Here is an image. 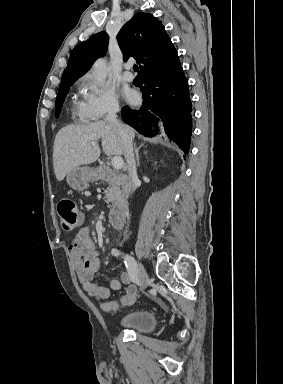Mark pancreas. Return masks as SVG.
<instances>
[{"label": "pancreas", "instance_id": "pancreas-1", "mask_svg": "<svg viewBox=\"0 0 283 384\" xmlns=\"http://www.w3.org/2000/svg\"><path fill=\"white\" fill-rule=\"evenodd\" d=\"M98 170H103L105 180H111V178H117V172H113L107 166H100ZM106 202L108 204L107 208L109 210H115L116 206L122 204V192L120 186H109L105 192Z\"/></svg>", "mask_w": 283, "mask_h": 384}]
</instances>
